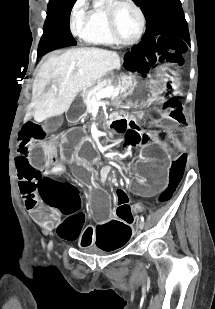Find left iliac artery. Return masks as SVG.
Listing matches in <instances>:
<instances>
[{"label":"left iliac artery","instance_id":"1","mask_svg":"<svg viewBox=\"0 0 215 309\" xmlns=\"http://www.w3.org/2000/svg\"><path fill=\"white\" fill-rule=\"evenodd\" d=\"M141 221H143V222H144V217H141Z\"/></svg>","mask_w":215,"mask_h":309}]
</instances>
